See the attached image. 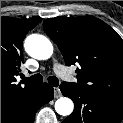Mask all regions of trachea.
<instances>
[{
	"label": "trachea",
	"mask_w": 123,
	"mask_h": 123,
	"mask_svg": "<svg viewBox=\"0 0 123 123\" xmlns=\"http://www.w3.org/2000/svg\"><path fill=\"white\" fill-rule=\"evenodd\" d=\"M23 82L30 84H41L43 82V76L41 74H35L28 78L23 77ZM48 82L54 87H57L59 85V80L55 76L48 77Z\"/></svg>",
	"instance_id": "3493384b"
}]
</instances>
